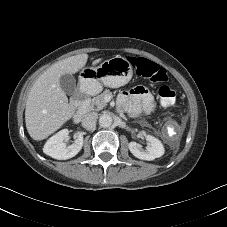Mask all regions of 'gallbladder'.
<instances>
[{
  "label": "gallbladder",
  "mask_w": 227,
  "mask_h": 227,
  "mask_svg": "<svg viewBox=\"0 0 227 227\" xmlns=\"http://www.w3.org/2000/svg\"><path fill=\"white\" fill-rule=\"evenodd\" d=\"M60 87L67 95L77 92L76 80L71 74H64L60 77Z\"/></svg>",
  "instance_id": "bac80fb5"
}]
</instances>
